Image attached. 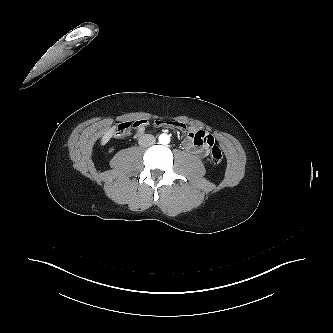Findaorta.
Returning a JSON list of instances; mask_svg holds the SVG:
<instances>
[{
  "mask_svg": "<svg viewBox=\"0 0 333 333\" xmlns=\"http://www.w3.org/2000/svg\"><path fill=\"white\" fill-rule=\"evenodd\" d=\"M170 142V136L168 134H161L159 136V143L166 145Z\"/></svg>",
  "mask_w": 333,
  "mask_h": 333,
  "instance_id": "1",
  "label": "aorta"
}]
</instances>
